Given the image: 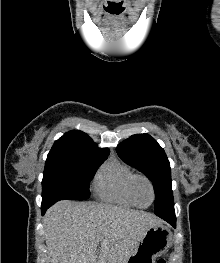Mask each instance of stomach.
Masks as SVG:
<instances>
[{"label":"stomach","mask_w":220,"mask_h":263,"mask_svg":"<svg viewBox=\"0 0 220 263\" xmlns=\"http://www.w3.org/2000/svg\"><path fill=\"white\" fill-rule=\"evenodd\" d=\"M172 243V233L162 223L149 228L141 237L137 248L126 263H156Z\"/></svg>","instance_id":"stomach-1"}]
</instances>
